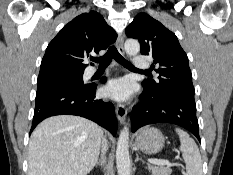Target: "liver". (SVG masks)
I'll use <instances>...</instances> for the list:
<instances>
[{
  "label": "liver",
  "instance_id": "1",
  "mask_svg": "<svg viewBox=\"0 0 233 175\" xmlns=\"http://www.w3.org/2000/svg\"><path fill=\"white\" fill-rule=\"evenodd\" d=\"M102 129L73 115L45 119L33 131L28 175H87L96 165Z\"/></svg>",
  "mask_w": 233,
  "mask_h": 175
}]
</instances>
